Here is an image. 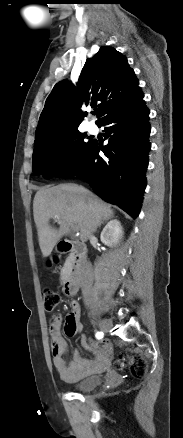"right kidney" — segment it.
Instances as JSON below:
<instances>
[{
  "mask_svg": "<svg viewBox=\"0 0 183 438\" xmlns=\"http://www.w3.org/2000/svg\"><path fill=\"white\" fill-rule=\"evenodd\" d=\"M123 235V230L118 220H112L103 228L100 239L107 246H116Z\"/></svg>",
  "mask_w": 183,
  "mask_h": 438,
  "instance_id": "ca27d5eb",
  "label": "right kidney"
}]
</instances>
